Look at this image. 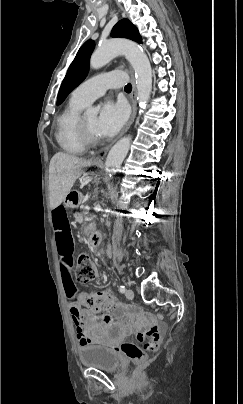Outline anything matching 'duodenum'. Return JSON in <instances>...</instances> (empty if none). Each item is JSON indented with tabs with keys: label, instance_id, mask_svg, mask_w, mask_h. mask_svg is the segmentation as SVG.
Segmentation results:
<instances>
[{
	"label": "duodenum",
	"instance_id": "1",
	"mask_svg": "<svg viewBox=\"0 0 243 404\" xmlns=\"http://www.w3.org/2000/svg\"><path fill=\"white\" fill-rule=\"evenodd\" d=\"M78 200H79L78 192L75 190H71L66 194L64 204L69 208H73L78 204ZM100 240H101L100 233L98 231H92L89 236V246L92 248L97 246Z\"/></svg>",
	"mask_w": 243,
	"mask_h": 404
}]
</instances>
